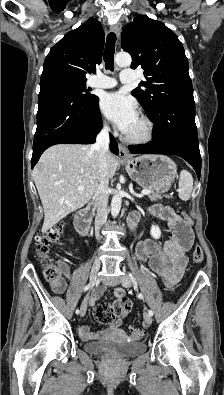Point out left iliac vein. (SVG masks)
<instances>
[{"label": "left iliac vein", "instance_id": "obj_1", "mask_svg": "<svg viewBox=\"0 0 224 395\" xmlns=\"http://www.w3.org/2000/svg\"><path fill=\"white\" fill-rule=\"evenodd\" d=\"M121 284L123 287L128 288L132 286V280L128 275H124L121 279ZM144 322L147 325H150L152 323V318L151 316L147 313L144 312Z\"/></svg>", "mask_w": 224, "mask_h": 395}]
</instances>
